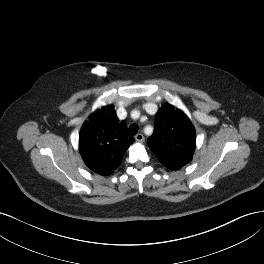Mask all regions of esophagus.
Here are the masks:
<instances>
[{
    "label": "esophagus",
    "instance_id": "esophagus-1",
    "mask_svg": "<svg viewBox=\"0 0 264 264\" xmlns=\"http://www.w3.org/2000/svg\"><path fill=\"white\" fill-rule=\"evenodd\" d=\"M135 140H136L137 142H143V141H144V136H143V134L138 133V134L135 136Z\"/></svg>",
    "mask_w": 264,
    "mask_h": 264
}]
</instances>
